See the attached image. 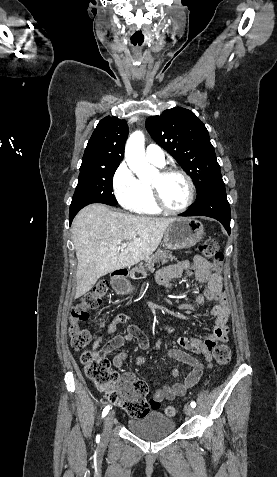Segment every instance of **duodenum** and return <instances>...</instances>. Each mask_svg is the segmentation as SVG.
<instances>
[{
  "label": "duodenum",
  "mask_w": 277,
  "mask_h": 477,
  "mask_svg": "<svg viewBox=\"0 0 277 477\" xmlns=\"http://www.w3.org/2000/svg\"><path fill=\"white\" fill-rule=\"evenodd\" d=\"M113 279L117 288H122V281L127 277L128 270L127 269H117L113 272Z\"/></svg>",
  "instance_id": "duodenum-1"
}]
</instances>
